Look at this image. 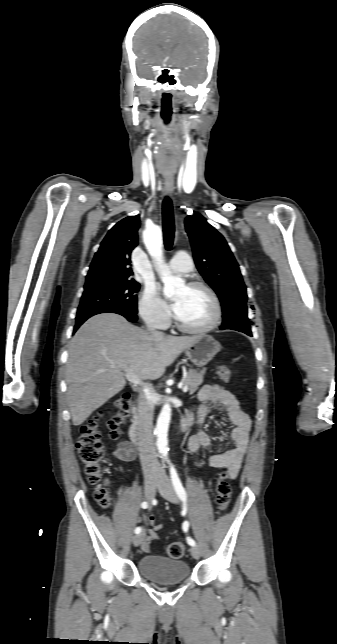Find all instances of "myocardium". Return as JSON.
<instances>
[{
  "mask_svg": "<svg viewBox=\"0 0 337 644\" xmlns=\"http://www.w3.org/2000/svg\"><path fill=\"white\" fill-rule=\"evenodd\" d=\"M186 287L189 288V289H202V290H204V291H206L208 293V295L210 296V298L212 300L213 307H214L213 318L210 321V323L207 324L204 327L192 328V327H188L185 324H183L176 317V315L173 314V321H174L175 326L179 330H181L182 332L189 333V334L200 335V334H206V333H209V332L213 331L220 324L221 319H222V307H221V302H220V299H219L218 295L216 294V292L214 291V289L212 287H210L208 284H206L204 282H199V281L190 282Z\"/></svg>",
  "mask_w": 337,
  "mask_h": 644,
  "instance_id": "f54148a6",
  "label": "myocardium"
}]
</instances>
